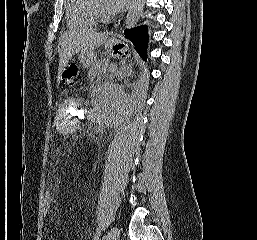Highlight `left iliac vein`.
<instances>
[{"instance_id": "4c4485c4", "label": "left iliac vein", "mask_w": 257, "mask_h": 240, "mask_svg": "<svg viewBox=\"0 0 257 240\" xmlns=\"http://www.w3.org/2000/svg\"><path fill=\"white\" fill-rule=\"evenodd\" d=\"M119 236H120V230L118 227L114 226L110 229L106 240H119Z\"/></svg>"}]
</instances>
